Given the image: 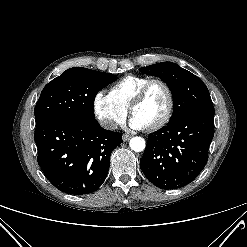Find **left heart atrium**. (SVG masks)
<instances>
[{"label": "left heart atrium", "instance_id": "left-heart-atrium-1", "mask_svg": "<svg viewBox=\"0 0 247 247\" xmlns=\"http://www.w3.org/2000/svg\"><path fill=\"white\" fill-rule=\"evenodd\" d=\"M130 126L134 129H143L147 127V125L135 115H133L130 120Z\"/></svg>", "mask_w": 247, "mask_h": 247}]
</instances>
